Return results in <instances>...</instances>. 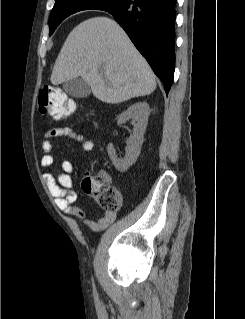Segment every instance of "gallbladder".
I'll return each mask as SVG.
<instances>
[{
  "instance_id": "obj_1",
  "label": "gallbladder",
  "mask_w": 245,
  "mask_h": 319,
  "mask_svg": "<svg viewBox=\"0 0 245 319\" xmlns=\"http://www.w3.org/2000/svg\"><path fill=\"white\" fill-rule=\"evenodd\" d=\"M64 91L74 98L87 97L91 90L90 86L82 78H74L63 83Z\"/></svg>"
}]
</instances>
